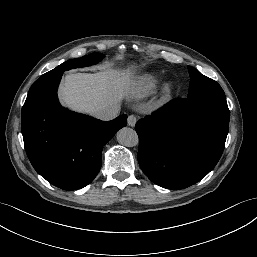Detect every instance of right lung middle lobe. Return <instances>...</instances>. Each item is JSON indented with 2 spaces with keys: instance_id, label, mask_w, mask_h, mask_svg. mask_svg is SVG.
Here are the masks:
<instances>
[{
  "instance_id": "1",
  "label": "right lung middle lobe",
  "mask_w": 257,
  "mask_h": 257,
  "mask_svg": "<svg viewBox=\"0 0 257 257\" xmlns=\"http://www.w3.org/2000/svg\"><path fill=\"white\" fill-rule=\"evenodd\" d=\"M105 56L101 53H92L87 56L68 60L61 65L57 66L55 69L45 73L44 75L51 76L55 75L59 72H64L66 70H70L72 68L84 67L98 63L101 61Z\"/></svg>"
}]
</instances>
